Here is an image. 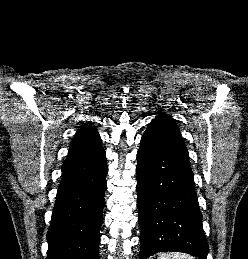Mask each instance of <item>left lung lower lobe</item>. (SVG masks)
Returning <instances> with one entry per match:
<instances>
[{
	"mask_svg": "<svg viewBox=\"0 0 248 259\" xmlns=\"http://www.w3.org/2000/svg\"><path fill=\"white\" fill-rule=\"evenodd\" d=\"M137 160L139 259L167 251L207 259L208 245L190 164L143 140Z\"/></svg>",
	"mask_w": 248,
	"mask_h": 259,
	"instance_id": "0a47b994",
	"label": "left lung lower lobe"
}]
</instances>
